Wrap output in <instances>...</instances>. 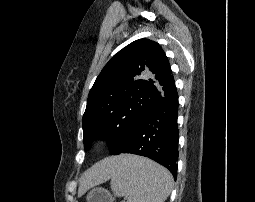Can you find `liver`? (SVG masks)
Masks as SVG:
<instances>
[{"mask_svg": "<svg viewBox=\"0 0 255 202\" xmlns=\"http://www.w3.org/2000/svg\"><path fill=\"white\" fill-rule=\"evenodd\" d=\"M127 155L106 158L88 169L81 178L79 192L102 183L111 177L113 170L118 168Z\"/></svg>", "mask_w": 255, "mask_h": 202, "instance_id": "liver-1", "label": "liver"}]
</instances>
